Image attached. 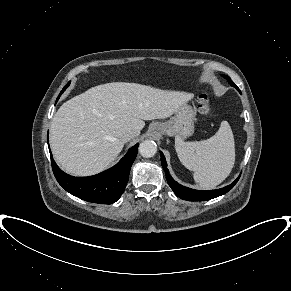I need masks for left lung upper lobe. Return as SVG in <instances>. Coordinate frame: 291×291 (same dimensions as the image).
Returning <instances> with one entry per match:
<instances>
[{
    "label": "left lung upper lobe",
    "instance_id": "left-lung-upper-lobe-1",
    "mask_svg": "<svg viewBox=\"0 0 291 291\" xmlns=\"http://www.w3.org/2000/svg\"><path fill=\"white\" fill-rule=\"evenodd\" d=\"M224 78H226L227 79V81L229 82V84L231 85V86H233V87H235L238 91H240L239 89H238V87L234 84V82L230 79V77H228L227 75H222Z\"/></svg>",
    "mask_w": 291,
    "mask_h": 291
}]
</instances>
